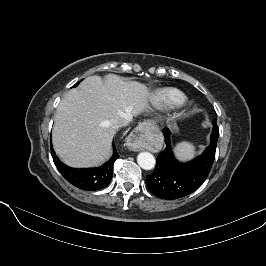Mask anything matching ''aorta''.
<instances>
[{"mask_svg":"<svg viewBox=\"0 0 266 266\" xmlns=\"http://www.w3.org/2000/svg\"><path fill=\"white\" fill-rule=\"evenodd\" d=\"M139 166L144 170H151L155 167V158L149 152H141L137 156Z\"/></svg>","mask_w":266,"mask_h":266,"instance_id":"obj_1","label":"aorta"}]
</instances>
